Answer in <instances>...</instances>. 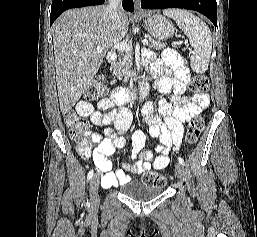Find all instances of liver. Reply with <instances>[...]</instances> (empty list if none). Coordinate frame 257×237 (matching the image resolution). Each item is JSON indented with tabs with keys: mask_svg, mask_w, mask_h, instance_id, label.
<instances>
[{
	"mask_svg": "<svg viewBox=\"0 0 257 237\" xmlns=\"http://www.w3.org/2000/svg\"><path fill=\"white\" fill-rule=\"evenodd\" d=\"M121 28L111 21L104 5L72 9L53 24L56 82L63 115L67 114L91 84L107 51L128 31L121 11ZM100 46L102 49L97 50Z\"/></svg>",
	"mask_w": 257,
	"mask_h": 237,
	"instance_id": "6515ba94",
	"label": "liver"
}]
</instances>
